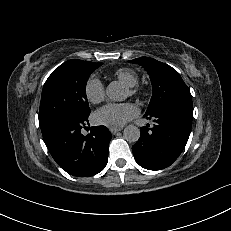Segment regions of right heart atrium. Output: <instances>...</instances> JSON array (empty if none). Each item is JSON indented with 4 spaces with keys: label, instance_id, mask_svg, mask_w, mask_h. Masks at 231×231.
I'll return each instance as SVG.
<instances>
[{
    "label": "right heart atrium",
    "instance_id": "1",
    "mask_svg": "<svg viewBox=\"0 0 231 231\" xmlns=\"http://www.w3.org/2000/svg\"><path fill=\"white\" fill-rule=\"evenodd\" d=\"M85 96L90 103L98 104L105 98L104 85L98 78H90L85 84Z\"/></svg>",
    "mask_w": 231,
    "mask_h": 231
}]
</instances>
